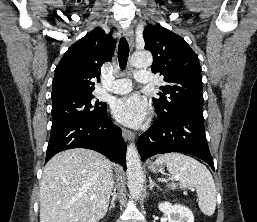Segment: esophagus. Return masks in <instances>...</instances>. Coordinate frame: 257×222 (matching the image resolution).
I'll use <instances>...</instances> for the list:
<instances>
[{
  "instance_id": "34e87169",
  "label": "esophagus",
  "mask_w": 257,
  "mask_h": 222,
  "mask_svg": "<svg viewBox=\"0 0 257 222\" xmlns=\"http://www.w3.org/2000/svg\"><path fill=\"white\" fill-rule=\"evenodd\" d=\"M123 34L127 38L130 46H133L134 45V34H133L132 29H130V28L125 29L123 31ZM122 136H123V138L125 140H130V139H134L135 138L134 134L131 131L127 130V129H122Z\"/></svg>"
}]
</instances>
